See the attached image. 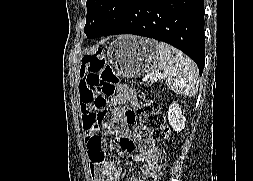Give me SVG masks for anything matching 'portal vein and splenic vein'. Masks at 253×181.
Wrapping results in <instances>:
<instances>
[{
    "label": "portal vein and splenic vein",
    "instance_id": "portal-vein-and-splenic-vein-1",
    "mask_svg": "<svg viewBox=\"0 0 253 181\" xmlns=\"http://www.w3.org/2000/svg\"><path fill=\"white\" fill-rule=\"evenodd\" d=\"M158 78H159L158 74H152V75H150V80L151 81H157Z\"/></svg>",
    "mask_w": 253,
    "mask_h": 181
}]
</instances>
